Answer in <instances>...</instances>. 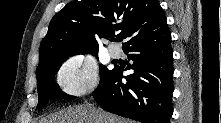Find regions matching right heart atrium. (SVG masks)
Here are the masks:
<instances>
[{"label": "right heart atrium", "instance_id": "1", "mask_svg": "<svg viewBox=\"0 0 221 123\" xmlns=\"http://www.w3.org/2000/svg\"><path fill=\"white\" fill-rule=\"evenodd\" d=\"M56 81L62 92L68 96L87 95L98 85L97 67L81 56L70 57L60 66Z\"/></svg>", "mask_w": 221, "mask_h": 123}]
</instances>
